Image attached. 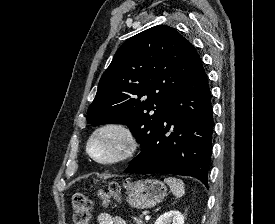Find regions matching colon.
I'll return each instance as SVG.
<instances>
[{
	"label": "colon",
	"instance_id": "5ec220e1",
	"mask_svg": "<svg viewBox=\"0 0 275 224\" xmlns=\"http://www.w3.org/2000/svg\"><path fill=\"white\" fill-rule=\"evenodd\" d=\"M121 186L116 182L108 184L106 190L99 191V197L104 204L111 199H119ZM92 213V201L82 193H76L72 197V218L74 224H89Z\"/></svg>",
	"mask_w": 275,
	"mask_h": 224
}]
</instances>
